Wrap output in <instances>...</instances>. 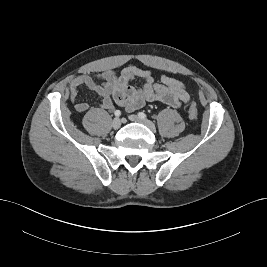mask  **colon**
<instances>
[{
    "mask_svg": "<svg viewBox=\"0 0 267 267\" xmlns=\"http://www.w3.org/2000/svg\"><path fill=\"white\" fill-rule=\"evenodd\" d=\"M188 114L192 120H196L198 118V110H197L195 103H192L189 106Z\"/></svg>",
    "mask_w": 267,
    "mask_h": 267,
    "instance_id": "obj_1",
    "label": "colon"
}]
</instances>
